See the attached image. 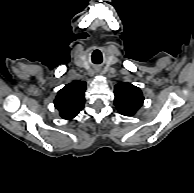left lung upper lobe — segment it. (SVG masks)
I'll return each mask as SVG.
<instances>
[{
	"mask_svg": "<svg viewBox=\"0 0 194 193\" xmlns=\"http://www.w3.org/2000/svg\"><path fill=\"white\" fill-rule=\"evenodd\" d=\"M143 100L141 90L132 84L121 82L115 86V105L122 115H134L143 105Z\"/></svg>",
	"mask_w": 194,
	"mask_h": 193,
	"instance_id": "left-lung-upper-lobe-1",
	"label": "left lung upper lobe"
}]
</instances>
